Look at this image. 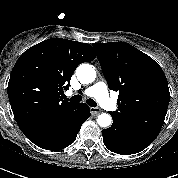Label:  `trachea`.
<instances>
[{
  "label": "trachea",
  "instance_id": "trachea-1",
  "mask_svg": "<svg viewBox=\"0 0 178 178\" xmlns=\"http://www.w3.org/2000/svg\"><path fill=\"white\" fill-rule=\"evenodd\" d=\"M81 100H82V96H80V95H75V96L71 97V99H70V101H72V102H80ZM86 103L91 107L97 106V103L91 98L87 99Z\"/></svg>",
  "mask_w": 178,
  "mask_h": 178
}]
</instances>
